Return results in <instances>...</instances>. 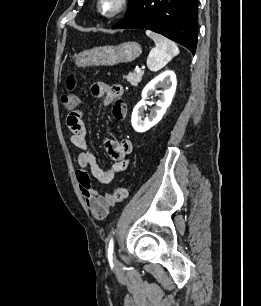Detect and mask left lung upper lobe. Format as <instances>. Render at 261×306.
I'll use <instances>...</instances> for the list:
<instances>
[{
	"label": "left lung upper lobe",
	"instance_id": "5c2ea615",
	"mask_svg": "<svg viewBox=\"0 0 261 306\" xmlns=\"http://www.w3.org/2000/svg\"><path fill=\"white\" fill-rule=\"evenodd\" d=\"M138 0H129V8H128V11L135 5V3L137 2ZM127 11V12H128Z\"/></svg>",
	"mask_w": 261,
	"mask_h": 306
}]
</instances>
